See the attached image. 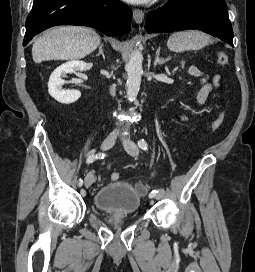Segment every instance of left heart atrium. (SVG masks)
<instances>
[{
    "label": "left heart atrium",
    "mask_w": 255,
    "mask_h": 272,
    "mask_svg": "<svg viewBox=\"0 0 255 272\" xmlns=\"http://www.w3.org/2000/svg\"><path fill=\"white\" fill-rule=\"evenodd\" d=\"M127 1L133 2V3H146V2H148L150 0H127Z\"/></svg>",
    "instance_id": "left-heart-atrium-1"
}]
</instances>
